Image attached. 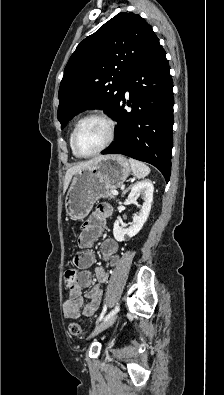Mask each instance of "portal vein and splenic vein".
I'll use <instances>...</instances> for the list:
<instances>
[{"label": "portal vein and splenic vein", "instance_id": "portal-vein-and-splenic-vein-1", "mask_svg": "<svg viewBox=\"0 0 224 395\" xmlns=\"http://www.w3.org/2000/svg\"><path fill=\"white\" fill-rule=\"evenodd\" d=\"M112 194H113V195H118V191L112 190Z\"/></svg>", "mask_w": 224, "mask_h": 395}]
</instances>
